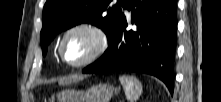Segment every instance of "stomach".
<instances>
[{
    "label": "stomach",
    "instance_id": "1",
    "mask_svg": "<svg viewBox=\"0 0 221 102\" xmlns=\"http://www.w3.org/2000/svg\"><path fill=\"white\" fill-rule=\"evenodd\" d=\"M115 89L109 84H98L87 90L66 89L57 93L58 102H108Z\"/></svg>",
    "mask_w": 221,
    "mask_h": 102
}]
</instances>
